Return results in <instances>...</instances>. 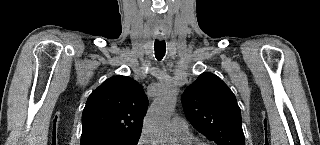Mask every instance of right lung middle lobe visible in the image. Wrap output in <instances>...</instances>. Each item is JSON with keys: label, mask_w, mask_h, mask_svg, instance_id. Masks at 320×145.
Instances as JSON below:
<instances>
[{"label": "right lung middle lobe", "mask_w": 320, "mask_h": 145, "mask_svg": "<svg viewBox=\"0 0 320 145\" xmlns=\"http://www.w3.org/2000/svg\"><path fill=\"white\" fill-rule=\"evenodd\" d=\"M140 134H100L81 139L80 145H137Z\"/></svg>", "instance_id": "right-lung-middle-lobe-1"}]
</instances>
